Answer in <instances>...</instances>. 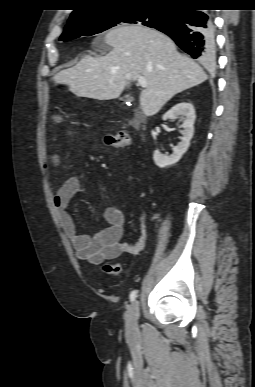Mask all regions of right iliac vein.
<instances>
[{"label": "right iliac vein", "mask_w": 255, "mask_h": 387, "mask_svg": "<svg viewBox=\"0 0 255 387\" xmlns=\"http://www.w3.org/2000/svg\"><path fill=\"white\" fill-rule=\"evenodd\" d=\"M139 318V302L135 300L125 314V324L127 335L132 337L137 333V321Z\"/></svg>", "instance_id": "63e3f726"}]
</instances>
